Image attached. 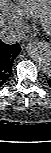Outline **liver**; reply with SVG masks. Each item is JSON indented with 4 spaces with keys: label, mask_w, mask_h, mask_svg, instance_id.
Wrapping results in <instances>:
<instances>
[{
    "label": "liver",
    "mask_w": 51,
    "mask_h": 153,
    "mask_svg": "<svg viewBox=\"0 0 51 153\" xmlns=\"http://www.w3.org/2000/svg\"><path fill=\"white\" fill-rule=\"evenodd\" d=\"M0 23H1V26H3V24H4V19L3 18H1Z\"/></svg>",
    "instance_id": "6515ba94"
}]
</instances>
